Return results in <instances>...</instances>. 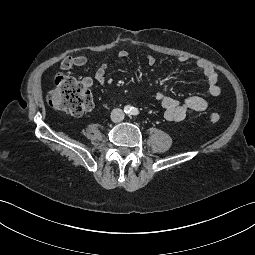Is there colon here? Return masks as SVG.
I'll list each match as a JSON object with an SVG mask.
<instances>
[{
	"label": "colon",
	"instance_id": "5ec220e1",
	"mask_svg": "<svg viewBox=\"0 0 255 255\" xmlns=\"http://www.w3.org/2000/svg\"><path fill=\"white\" fill-rule=\"evenodd\" d=\"M47 102L53 109L81 116L92 108L93 97L82 81L59 73L55 76L54 88L49 92ZM209 119L212 123H218L221 117L213 111L209 113Z\"/></svg>",
	"mask_w": 255,
	"mask_h": 255
}]
</instances>
